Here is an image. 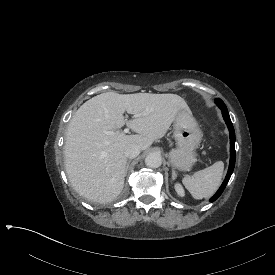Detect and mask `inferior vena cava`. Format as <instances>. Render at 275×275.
<instances>
[{"label": "inferior vena cava", "instance_id": "1", "mask_svg": "<svg viewBox=\"0 0 275 275\" xmlns=\"http://www.w3.org/2000/svg\"><path fill=\"white\" fill-rule=\"evenodd\" d=\"M141 152V147L137 144H128L125 148H124V155L127 158H135L137 157Z\"/></svg>", "mask_w": 275, "mask_h": 275}]
</instances>
